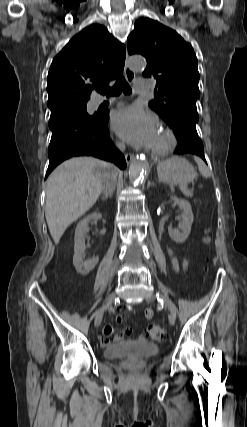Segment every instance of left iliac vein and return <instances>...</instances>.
<instances>
[{
    "label": "left iliac vein",
    "instance_id": "left-iliac-vein-1",
    "mask_svg": "<svg viewBox=\"0 0 247 427\" xmlns=\"http://www.w3.org/2000/svg\"><path fill=\"white\" fill-rule=\"evenodd\" d=\"M155 299H156V296H155V294H153V293H150V294L147 296V298H146L147 302H153ZM168 318H169V322H170V324H171V325H174V324H175V321H176V316H175V314H173L172 312H170V313H169Z\"/></svg>",
    "mask_w": 247,
    "mask_h": 427
}]
</instances>
